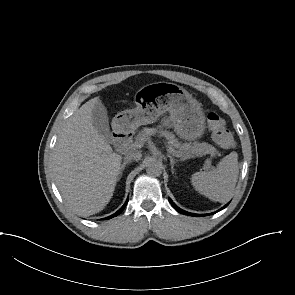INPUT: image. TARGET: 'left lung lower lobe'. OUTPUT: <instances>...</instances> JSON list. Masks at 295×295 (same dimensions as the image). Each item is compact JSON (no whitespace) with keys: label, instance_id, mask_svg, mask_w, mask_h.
<instances>
[{"label":"left lung lower lobe","instance_id":"obj_1","mask_svg":"<svg viewBox=\"0 0 295 295\" xmlns=\"http://www.w3.org/2000/svg\"><path fill=\"white\" fill-rule=\"evenodd\" d=\"M169 202L171 203V205L179 212V213H182V214H185V215H189V216H205V215H201V214H193V213H189V212H186V211H184V210H182V209H180L179 207H177L174 203H173V201L169 198ZM228 206V204H226L224 207H222L220 210H222V209H224L225 207H227ZM220 210H218V211H220ZM217 211V212H218Z\"/></svg>","mask_w":295,"mask_h":295}]
</instances>
